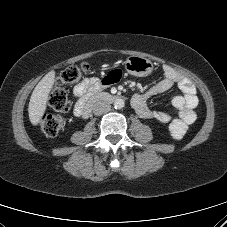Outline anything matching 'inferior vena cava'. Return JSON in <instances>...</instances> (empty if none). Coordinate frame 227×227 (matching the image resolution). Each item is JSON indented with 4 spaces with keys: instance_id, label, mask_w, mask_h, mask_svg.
Wrapping results in <instances>:
<instances>
[{
    "instance_id": "602c4592",
    "label": "inferior vena cava",
    "mask_w": 227,
    "mask_h": 227,
    "mask_svg": "<svg viewBox=\"0 0 227 227\" xmlns=\"http://www.w3.org/2000/svg\"><path fill=\"white\" fill-rule=\"evenodd\" d=\"M111 110V105L104 101H98L93 106V113L95 115H102Z\"/></svg>"
}]
</instances>
